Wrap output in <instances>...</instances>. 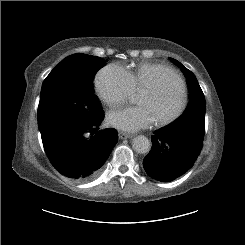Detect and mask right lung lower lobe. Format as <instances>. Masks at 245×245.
Segmentation results:
<instances>
[{"label":"right lung lower lobe","mask_w":245,"mask_h":245,"mask_svg":"<svg viewBox=\"0 0 245 245\" xmlns=\"http://www.w3.org/2000/svg\"><path fill=\"white\" fill-rule=\"evenodd\" d=\"M103 114L82 126L59 128L42 138L45 152L61 174L79 181L96 177L118 141L115 130L98 131Z\"/></svg>","instance_id":"obj_1"}]
</instances>
